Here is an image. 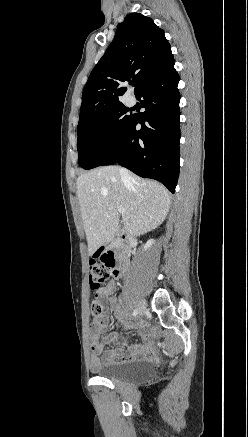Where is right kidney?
<instances>
[{"instance_id":"1","label":"right kidney","mask_w":248,"mask_h":437,"mask_svg":"<svg viewBox=\"0 0 248 437\" xmlns=\"http://www.w3.org/2000/svg\"><path fill=\"white\" fill-rule=\"evenodd\" d=\"M153 243H154L153 239L148 240L147 243L144 245V250H147L148 248H150Z\"/></svg>"}]
</instances>
